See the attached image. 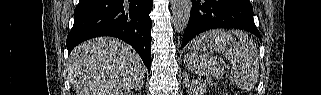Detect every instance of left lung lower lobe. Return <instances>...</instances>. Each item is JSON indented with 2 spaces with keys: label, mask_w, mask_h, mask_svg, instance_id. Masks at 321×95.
I'll list each match as a JSON object with an SVG mask.
<instances>
[{
  "label": "left lung lower lobe",
  "mask_w": 321,
  "mask_h": 95,
  "mask_svg": "<svg viewBox=\"0 0 321 95\" xmlns=\"http://www.w3.org/2000/svg\"><path fill=\"white\" fill-rule=\"evenodd\" d=\"M215 28L246 30L261 40L249 0H193L181 47L199 33Z\"/></svg>",
  "instance_id": "obj_1"
}]
</instances>
